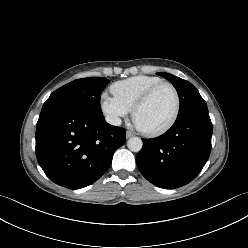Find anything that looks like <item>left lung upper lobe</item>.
Returning a JSON list of instances; mask_svg holds the SVG:
<instances>
[{
  "label": "left lung upper lobe",
  "instance_id": "left-lung-upper-lobe-1",
  "mask_svg": "<svg viewBox=\"0 0 248 248\" xmlns=\"http://www.w3.org/2000/svg\"><path fill=\"white\" fill-rule=\"evenodd\" d=\"M157 74L167 79L177 90L180 102L177 118H181L197 108L207 106L198 90L190 82L169 73Z\"/></svg>",
  "mask_w": 248,
  "mask_h": 248
}]
</instances>
